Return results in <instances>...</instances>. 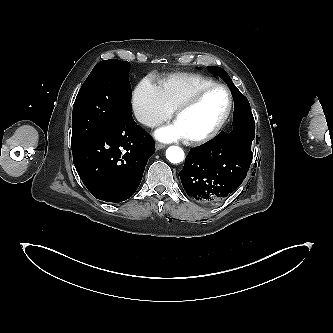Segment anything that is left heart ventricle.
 Instances as JSON below:
<instances>
[{
    "mask_svg": "<svg viewBox=\"0 0 333 333\" xmlns=\"http://www.w3.org/2000/svg\"><path fill=\"white\" fill-rule=\"evenodd\" d=\"M228 106V96L224 89L208 92L194 107L179 116L176 124L186 138L201 136L215 127Z\"/></svg>",
    "mask_w": 333,
    "mask_h": 333,
    "instance_id": "b2bd125f",
    "label": "left heart ventricle"
}]
</instances>
